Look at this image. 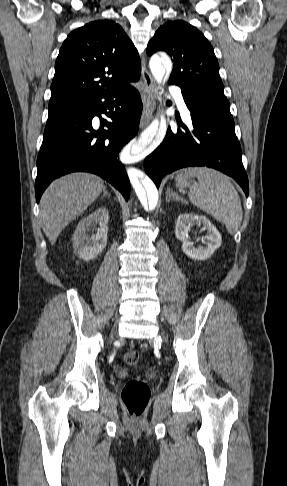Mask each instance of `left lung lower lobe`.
I'll use <instances>...</instances> for the list:
<instances>
[{"label":"left lung lower lobe","mask_w":287,"mask_h":486,"mask_svg":"<svg viewBox=\"0 0 287 486\" xmlns=\"http://www.w3.org/2000/svg\"><path fill=\"white\" fill-rule=\"evenodd\" d=\"M181 90L191 111L192 128L184 127L186 132H183L169 127L163 142L145 159V172L159 187L162 177L177 169L212 167L233 177L248 196V178L234 121L209 111L189 91Z\"/></svg>","instance_id":"1"}]
</instances>
